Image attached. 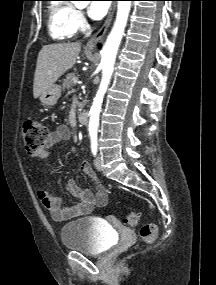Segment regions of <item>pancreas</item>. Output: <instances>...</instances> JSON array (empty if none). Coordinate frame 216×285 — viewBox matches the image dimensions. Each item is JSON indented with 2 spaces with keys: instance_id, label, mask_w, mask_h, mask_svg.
Wrapping results in <instances>:
<instances>
[{
  "instance_id": "obj_1",
  "label": "pancreas",
  "mask_w": 216,
  "mask_h": 285,
  "mask_svg": "<svg viewBox=\"0 0 216 285\" xmlns=\"http://www.w3.org/2000/svg\"><path fill=\"white\" fill-rule=\"evenodd\" d=\"M74 78H77L75 73H68L63 79V84H62L63 89L69 90L73 86Z\"/></svg>"
}]
</instances>
